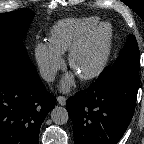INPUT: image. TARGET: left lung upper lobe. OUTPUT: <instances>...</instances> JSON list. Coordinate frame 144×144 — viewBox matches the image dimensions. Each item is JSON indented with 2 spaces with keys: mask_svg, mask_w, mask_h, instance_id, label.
I'll list each match as a JSON object with an SVG mask.
<instances>
[{
  "mask_svg": "<svg viewBox=\"0 0 144 144\" xmlns=\"http://www.w3.org/2000/svg\"><path fill=\"white\" fill-rule=\"evenodd\" d=\"M139 49L134 35H129L120 56L113 66L105 69L99 76L105 85L121 79L139 78Z\"/></svg>",
  "mask_w": 144,
  "mask_h": 144,
  "instance_id": "left-lung-upper-lobe-1",
  "label": "left lung upper lobe"
}]
</instances>
